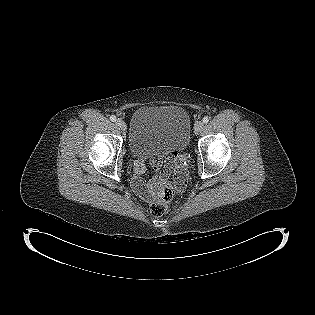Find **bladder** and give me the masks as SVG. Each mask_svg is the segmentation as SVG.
Returning a JSON list of instances; mask_svg holds the SVG:
<instances>
[{
  "label": "bladder",
  "mask_w": 315,
  "mask_h": 315,
  "mask_svg": "<svg viewBox=\"0 0 315 315\" xmlns=\"http://www.w3.org/2000/svg\"><path fill=\"white\" fill-rule=\"evenodd\" d=\"M191 121L178 106H143L131 118L129 148L134 156H162L189 144Z\"/></svg>",
  "instance_id": "obj_1"
}]
</instances>
